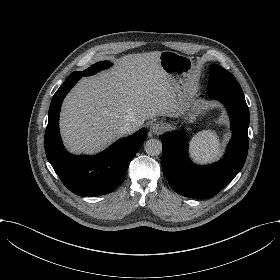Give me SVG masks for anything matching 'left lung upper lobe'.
Masks as SVG:
<instances>
[{"mask_svg":"<svg viewBox=\"0 0 280 280\" xmlns=\"http://www.w3.org/2000/svg\"><path fill=\"white\" fill-rule=\"evenodd\" d=\"M210 70L211 72L208 82L209 89L222 86L228 83L237 82L235 77L230 72L218 65H212L210 67Z\"/></svg>","mask_w":280,"mask_h":280,"instance_id":"5c2ea615","label":"left lung upper lobe"}]
</instances>
